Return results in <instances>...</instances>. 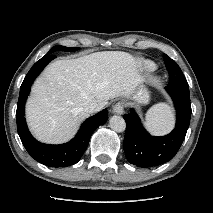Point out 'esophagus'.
Wrapping results in <instances>:
<instances>
[{"instance_id":"1","label":"esophagus","mask_w":213,"mask_h":213,"mask_svg":"<svg viewBox=\"0 0 213 213\" xmlns=\"http://www.w3.org/2000/svg\"><path fill=\"white\" fill-rule=\"evenodd\" d=\"M112 112L115 114H123L124 112V103L118 102L112 107Z\"/></svg>"}]
</instances>
